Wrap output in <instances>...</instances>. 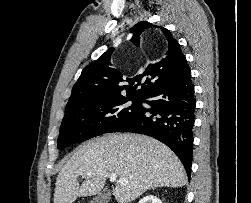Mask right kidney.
Masks as SVG:
<instances>
[{"label": "right kidney", "mask_w": 251, "mask_h": 203, "mask_svg": "<svg viewBox=\"0 0 251 203\" xmlns=\"http://www.w3.org/2000/svg\"><path fill=\"white\" fill-rule=\"evenodd\" d=\"M138 203H162V201L154 195L143 197Z\"/></svg>", "instance_id": "obj_1"}]
</instances>
